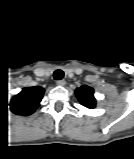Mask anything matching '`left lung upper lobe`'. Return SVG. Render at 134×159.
Segmentation results:
<instances>
[{
	"label": "left lung upper lobe",
	"instance_id": "5c2ea615",
	"mask_svg": "<svg viewBox=\"0 0 134 159\" xmlns=\"http://www.w3.org/2000/svg\"><path fill=\"white\" fill-rule=\"evenodd\" d=\"M75 92L78 97V100L83 106L89 109L95 107L96 100L94 98V91L91 87L84 85L80 88H77Z\"/></svg>",
	"mask_w": 134,
	"mask_h": 159
}]
</instances>
